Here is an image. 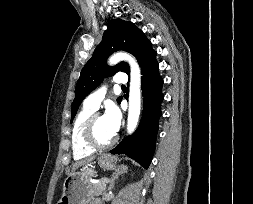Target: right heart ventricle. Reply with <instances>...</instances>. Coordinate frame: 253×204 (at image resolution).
<instances>
[{"instance_id": "e07e8e85", "label": "right heart ventricle", "mask_w": 253, "mask_h": 204, "mask_svg": "<svg viewBox=\"0 0 253 204\" xmlns=\"http://www.w3.org/2000/svg\"><path fill=\"white\" fill-rule=\"evenodd\" d=\"M96 110L83 106L80 112L77 114L71 135V144L73 157L76 160L86 158L92 155L95 149L91 148L84 140V128L87 120Z\"/></svg>"}]
</instances>
